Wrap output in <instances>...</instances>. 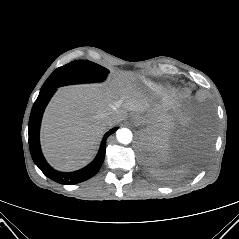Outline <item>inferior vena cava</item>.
<instances>
[{"instance_id":"inferior-vena-cava-1","label":"inferior vena cava","mask_w":239,"mask_h":239,"mask_svg":"<svg viewBox=\"0 0 239 239\" xmlns=\"http://www.w3.org/2000/svg\"><path fill=\"white\" fill-rule=\"evenodd\" d=\"M101 116L106 123L113 122L117 117L116 114L113 112L103 113Z\"/></svg>"}]
</instances>
